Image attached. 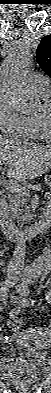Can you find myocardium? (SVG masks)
Masks as SVG:
<instances>
[{
    "label": "myocardium",
    "instance_id": "obj_1",
    "mask_svg": "<svg viewBox=\"0 0 51 393\" xmlns=\"http://www.w3.org/2000/svg\"><path fill=\"white\" fill-rule=\"evenodd\" d=\"M37 119L44 134L49 137L51 135V99L43 103L41 112L37 114Z\"/></svg>",
    "mask_w": 51,
    "mask_h": 393
}]
</instances>
